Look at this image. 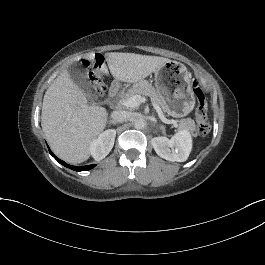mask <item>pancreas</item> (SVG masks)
Returning a JSON list of instances; mask_svg holds the SVG:
<instances>
[{
  "mask_svg": "<svg viewBox=\"0 0 265 265\" xmlns=\"http://www.w3.org/2000/svg\"><path fill=\"white\" fill-rule=\"evenodd\" d=\"M136 94L149 96L153 103H156L162 107L163 110L166 109V102L164 98L155 91L152 84L148 81L139 80L138 82L134 83L132 88H130L124 95L123 100H127ZM179 129H188L191 132L195 131L196 126L194 120L190 118L182 119L179 124Z\"/></svg>",
  "mask_w": 265,
  "mask_h": 265,
  "instance_id": "pancreas-1",
  "label": "pancreas"
}]
</instances>
